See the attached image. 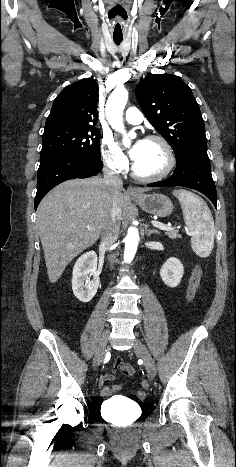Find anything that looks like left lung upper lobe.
I'll use <instances>...</instances> for the list:
<instances>
[{
	"label": "left lung upper lobe",
	"mask_w": 236,
	"mask_h": 467,
	"mask_svg": "<svg viewBox=\"0 0 236 467\" xmlns=\"http://www.w3.org/2000/svg\"><path fill=\"white\" fill-rule=\"evenodd\" d=\"M136 96L149 122L171 145L176 161L191 149L206 147L199 105L180 77L149 75L138 83Z\"/></svg>",
	"instance_id": "1"
}]
</instances>
